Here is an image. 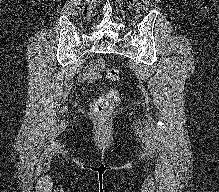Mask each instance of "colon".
Returning <instances> with one entry per match:
<instances>
[{
    "instance_id": "1",
    "label": "colon",
    "mask_w": 219,
    "mask_h": 192,
    "mask_svg": "<svg viewBox=\"0 0 219 192\" xmlns=\"http://www.w3.org/2000/svg\"><path fill=\"white\" fill-rule=\"evenodd\" d=\"M106 77L111 81H117L120 78V72L115 67H108L105 71ZM119 93L117 90H111L107 95L98 98L92 104V114L96 119H103L110 113L114 102Z\"/></svg>"
}]
</instances>
